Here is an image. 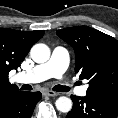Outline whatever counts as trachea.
<instances>
[{"label": "trachea", "mask_w": 118, "mask_h": 118, "mask_svg": "<svg viewBox=\"0 0 118 118\" xmlns=\"http://www.w3.org/2000/svg\"><path fill=\"white\" fill-rule=\"evenodd\" d=\"M52 89L57 92H68L70 88L68 86L56 85Z\"/></svg>", "instance_id": "trachea-1"}]
</instances>
